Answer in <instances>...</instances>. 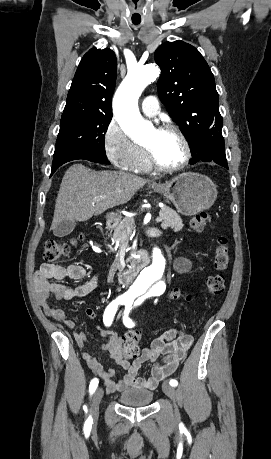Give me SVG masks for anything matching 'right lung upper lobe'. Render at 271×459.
<instances>
[{
    "instance_id": "right-lung-upper-lobe-1",
    "label": "right lung upper lobe",
    "mask_w": 271,
    "mask_h": 459,
    "mask_svg": "<svg viewBox=\"0 0 271 459\" xmlns=\"http://www.w3.org/2000/svg\"><path fill=\"white\" fill-rule=\"evenodd\" d=\"M117 60L109 49H90L79 63L63 114L112 115Z\"/></svg>"
}]
</instances>
